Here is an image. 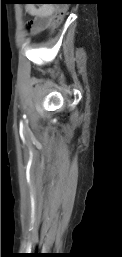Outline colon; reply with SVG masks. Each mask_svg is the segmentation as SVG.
Instances as JSON below:
<instances>
[{"label": "colon", "instance_id": "5ec220e1", "mask_svg": "<svg viewBox=\"0 0 122 257\" xmlns=\"http://www.w3.org/2000/svg\"><path fill=\"white\" fill-rule=\"evenodd\" d=\"M72 2H57L56 15L54 21H51V26H49V34L55 35L56 31L60 30L61 23L64 22V16L68 12L69 7H72Z\"/></svg>", "mask_w": 122, "mask_h": 257}]
</instances>
